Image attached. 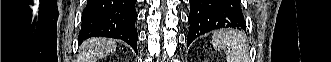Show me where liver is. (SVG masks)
<instances>
[{"instance_id":"obj_1","label":"liver","mask_w":331,"mask_h":62,"mask_svg":"<svg viewBox=\"0 0 331 62\" xmlns=\"http://www.w3.org/2000/svg\"><path fill=\"white\" fill-rule=\"evenodd\" d=\"M116 49V43L108 38H91L80 47L81 62H96L98 59L108 56Z\"/></svg>"}]
</instances>
